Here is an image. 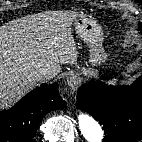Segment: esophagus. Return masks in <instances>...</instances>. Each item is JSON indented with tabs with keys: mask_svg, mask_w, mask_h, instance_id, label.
<instances>
[{
	"mask_svg": "<svg viewBox=\"0 0 142 142\" xmlns=\"http://www.w3.org/2000/svg\"><path fill=\"white\" fill-rule=\"evenodd\" d=\"M67 84L68 86H70L71 88H74L76 87L78 84H80L81 82V78L79 77L78 74L76 73H70L68 76H67Z\"/></svg>",
	"mask_w": 142,
	"mask_h": 142,
	"instance_id": "esophagus-1",
	"label": "esophagus"
}]
</instances>
